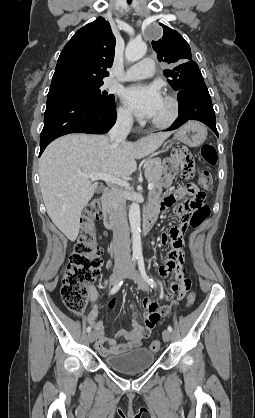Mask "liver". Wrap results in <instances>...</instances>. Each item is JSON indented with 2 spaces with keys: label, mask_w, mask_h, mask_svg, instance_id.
<instances>
[{
  "label": "liver",
  "mask_w": 255,
  "mask_h": 418,
  "mask_svg": "<svg viewBox=\"0 0 255 418\" xmlns=\"http://www.w3.org/2000/svg\"><path fill=\"white\" fill-rule=\"evenodd\" d=\"M170 135L166 132L136 142L114 143L105 135L68 134L53 141L39 161L41 193L52 222L75 241L81 211L97 188V183L79 173L126 178L136 170V159L156 151Z\"/></svg>",
  "instance_id": "liver-1"
}]
</instances>
